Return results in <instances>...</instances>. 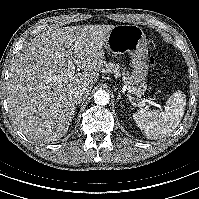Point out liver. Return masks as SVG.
<instances>
[{"mask_svg":"<svg viewBox=\"0 0 199 199\" xmlns=\"http://www.w3.org/2000/svg\"><path fill=\"white\" fill-rule=\"evenodd\" d=\"M113 27L48 29L24 45L7 81L8 106L20 131L44 142L65 135L75 112L70 90L81 86L89 94L105 64L102 48ZM68 59L84 72L66 75Z\"/></svg>","mask_w":199,"mask_h":199,"instance_id":"6515ba94","label":"liver"}]
</instances>
